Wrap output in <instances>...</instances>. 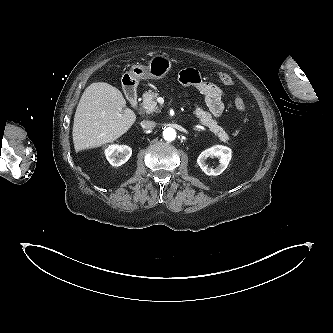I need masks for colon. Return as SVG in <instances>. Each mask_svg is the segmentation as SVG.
<instances>
[{
    "label": "colon",
    "instance_id": "obj_1",
    "mask_svg": "<svg viewBox=\"0 0 333 333\" xmlns=\"http://www.w3.org/2000/svg\"><path fill=\"white\" fill-rule=\"evenodd\" d=\"M218 77H219L220 81L225 85L230 86L233 84L232 77L227 73H219ZM234 104L239 111L246 112V110H247L246 105L240 96H236L234 98Z\"/></svg>",
    "mask_w": 333,
    "mask_h": 333
}]
</instances>
